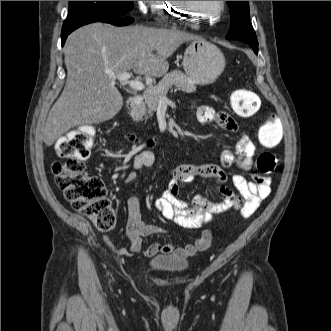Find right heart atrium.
<instances>
[{
	"label": "right heart atrium",
	"mask_w": 331,
	"mask_h": 331,
	"mask_svg": "<svg viewBox=\"0 0 331 331\" xmlns=\"http://www.w3.org/2000/svg\"><path fill=\"white\" fill-rule=\"evenodd\" d=\"M141 2L142 7L144 8L143 14L145 16H148L150 14V11L154 10V6L157 1H139Z\"/></svg>",
	"instance_id": "d8ad5b80"
}]
</instances>
